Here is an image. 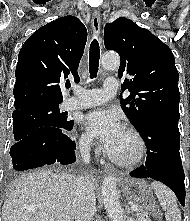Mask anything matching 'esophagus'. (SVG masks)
<instances>
[{"label": "esophagus", "mask_w": 190, "mask_h": 221, "mask_svg": "<svg viewBox=\"0 0 190 221\" xmlns=\"http://www.w3.org/2000/svg\"><path fill=\"white\" fill-rule=\"evenodd\" d=\"M100 24H101L100 12L98 10H96L93 12V15H92L91 27H92V31H93L94 35L101 41ZM104 171L105 172H115V169L110 164H106L104 166Z\"/></svg>", "instance_id": "obj_1"}]
</instances>
